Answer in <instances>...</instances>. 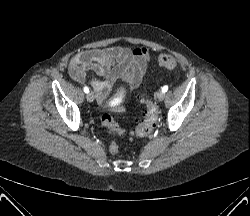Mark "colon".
I'll return each instance as SVG.
<instances>
[{"label":"colon","instance_id":"5ec220e1","mask_svg":"<svg viewBox=\"0 0 250 216\" xmlns=\"http://www.w3.org/2000/svg\"><path fill=\"white\" fill-rule=\"evenodd\" d=\"M158 65L161 68H165L168 70L173 71L174 73L177 72V62L175 58L167 53H162L158 57ZM142 102L146 106L145 113L143 118L137 123V125L130 131H124L113 119V117L105 113L101 116L102 125L107 129V131L112 135H128L130 137H144L150 134L157 122L158 117V108L157 105L147 96V94L142 95ZM109 151L112 154H118L119 152V145L116 140H113L110 143Z\"/></svg>","mask_w":250,"mask_h":216}]
</instances>
